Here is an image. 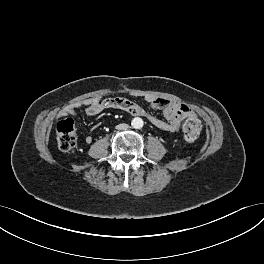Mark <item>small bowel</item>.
Masks as SVG:
<instances>
[{"label": "small bowel", "mask_w": 264, "mask_h": 264, "mask_svg": "<svg viewBox=\"0 0 264 264\" xmlns=\"http://www.w3.org/2000/svg\"><path fill=\"white\" fill-rule=\"evenodd\" d=\"M144 98L148 103L162 108L165 120L160 119L140 105L122 97L88 98L82 102L67 106L62 114H73L75 109L81 106H84V112L88 116L98 115L107 109H120L132 115L142 114V116H145L154 126L168 132H177L184 118L195 116L194 112L185 104L164 98H157L152 95H146ZM86 142L90 144L92 142V137L87 136Z\"/></svg>", "instance_id": "1"}]
</instances>
